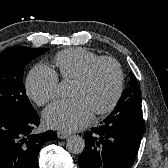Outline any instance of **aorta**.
Returning a JSON list of instances; mask_svg holds the SVG:
<instances>
[{"label": "aorta", "instance_id": "1", "mask_svg": "<svg viewBox=\"0 0 168 168\" xmlns=\"http://www.w3.org/2000/svg\"><path fill=\"white\" fill-rule=\"evenodd\" d=\"M60 89L63 94H67L69 84L66 81L60 83ZM67 150L73 154H81L85 148V141L79 135L70 136L66 143Z\"/></svg>", "mask_w": 168, "mask_h": 168}]
</instances>
